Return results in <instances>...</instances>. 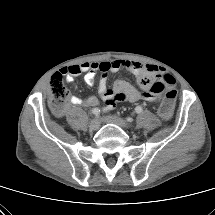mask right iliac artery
<instances>
[{
	"label": "right iliac artery",
	"mask_w": 215,
	"mask_h": 215,
	"mask_svg": "<svg viewBox=\"0 0 215 215\" xmlns=\"http://www.w3.org/2000/svg\"><path fill=\"white\" fill-rule=\"evenodd\" d=\"M92 114H94L95 116H98L100 114V109L98 108H93L92 109Z\"/></svg>",
	"instance_id": "1"
}]
</instances>
